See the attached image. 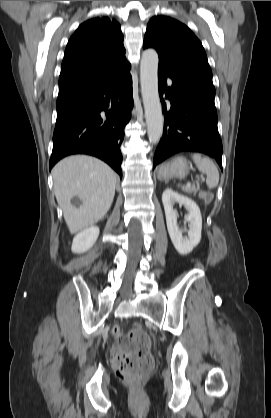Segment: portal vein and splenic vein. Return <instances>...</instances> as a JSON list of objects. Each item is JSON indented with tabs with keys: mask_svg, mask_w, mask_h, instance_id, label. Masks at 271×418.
I'll return each mask as SVG.
<instances>
[{
	"mask_svg": "<svg viewBox=\"0 0 271 418\" xmlns=\"http://www.w3.org/2000/svg\"><path fill=\"white\" fill-rule=\"evenodd\" d=\"M202 180H204V177H202ZM190 186H191V184H190V182H188L187 187H190Z\"/></svg>",
	"mask_w": 271,
	"mask_h": 418,
	"instance_id": "1",
	"label": "portal vein and splenic vein"
}]
</instances>
